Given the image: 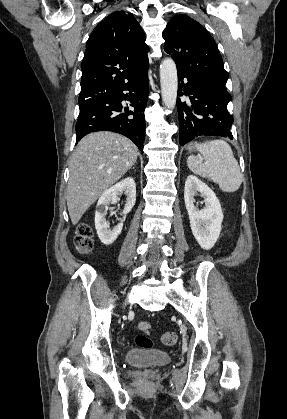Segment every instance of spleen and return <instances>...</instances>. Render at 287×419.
<instances>
[{
	"label": "spleen",
	"instance_id": "1",
	"mask_svg": "<svg viewBox=\"0 0 287 419\" xmlns=\"http://www.w3.org/2000/svg\"><path fill=\"white\" fill-rule=\"evenodd\" d=\"M197 148L204 162L200 156H189L188 168L194 174L218 184L223 192L237 191L243 176L229 144L217 139L200 143Z\"/></svg>",
	"mask_w": 287,
	"mask_h": 419
}]
</instances>
